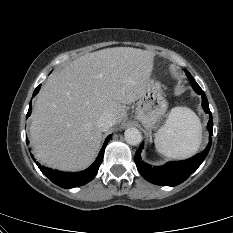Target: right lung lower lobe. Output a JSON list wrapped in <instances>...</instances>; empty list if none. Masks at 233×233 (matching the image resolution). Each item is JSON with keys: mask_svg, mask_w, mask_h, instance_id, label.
Returning <instances> with one entry per match:
<instances>
[{"mask_svg": "<svg viewBox=\"0 0 233 233\" xmlns=\"http://www.w3.org/2000/svg\"><path fill=\"white\" fill-rule=\"evenodd\" d=\"M39 85L34 93L33 96H35L40 89ZM31 110H32V106L31 103L29 105V110L27 113V117L30 116L31 114ZM110 139V136H108L104 142V145L97 157V159L95 160V162L86 170L81 171V172H77V173H64V172H58V171H54V170H50L48 168L42 167L40 164L37 163L39 169L41 170V172L47 176L53 183H55L56 185L62 187V188H74V187H79L82 186L88 182H90L97 174L99 166L103 160V156H104V150L105 147L108 143ZM27 144H29L28 140H26ZM33 158V156H32Z\"/></svg>", "mask_w": 233, "mask_h": 233, "instance_id": "right-lung-lower-lobe-1", "label": "right lung lower lobe"}]
</instances>
